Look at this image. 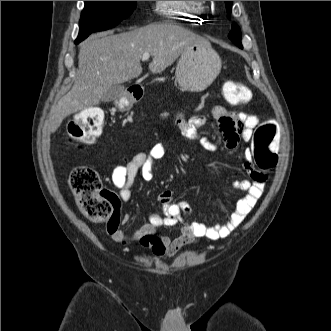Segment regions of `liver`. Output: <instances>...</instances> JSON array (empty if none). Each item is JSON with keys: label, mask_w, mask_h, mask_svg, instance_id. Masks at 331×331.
<instances>
[{"label": "liver", "mask_w": 331, "mask_h": 331, "mask_svg": "<svg viewBox=\"0 0 331 331\" xmlns=\"http://www.w3.org/2000/svg\"><path fill=\"white\" fill-rule=\"evenodd\" d=\"M200 42L208 41L173 23L149 24L85 40L80 46L74 84L50 110L48 132L54 133L67 116L98 105L112 85L139 77L143 54L152 56L149 69L157 74L171 66L188 46Z\"/></svg>", "instance_id": "liver-1"}]
</instances>
